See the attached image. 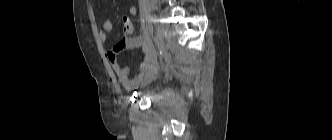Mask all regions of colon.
Wrapping results in <instances>:
<instances>
[{
	"label": "colon",
	"mask_w": 332,
	"mask_h": 140,
	"mask_svg": "<svg viewBox=\"0 0 332 140\" xmlns=\"http://www.w3.org/2000/svg\"><path fill=\"white\" fill-rule=\"evenodd\" d=\"M122 27H123L124 35L132 36V34L134 32V26H133L132 21L126 16H124L122 18Z\"/></svg>",
	"instance_id": "5ec220e1"
}]
</instances>
